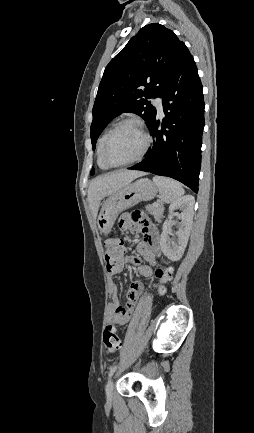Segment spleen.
Instances as JSON below:
<instances>
[{
  "label": "spleen",
  "mask_w": 254,
  "mask_h": 433,
  "mask_svg": "<svg viewBox=\"0 0 254 433\" xmlns=\"http://www.w3.org/2000/svg\"><path fill=\"white\" fill-rule=\"evenodd\" d=\"M153 182L158 187L161 197L166 203H173L184 194L182 185L171 178L154 176Z\"/></svg>",
  "instance_id": "3e777b00"
}]
</instances>
